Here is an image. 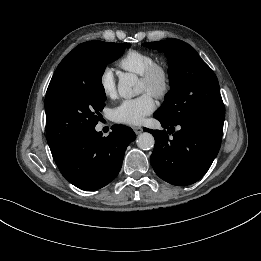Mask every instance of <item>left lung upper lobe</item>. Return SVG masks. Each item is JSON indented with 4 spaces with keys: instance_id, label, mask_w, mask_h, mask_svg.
<instances>
[{
    "instance_id": "1",
    "label": "left lung upper lobe",
    "mask_w": 261,
    "mask_h": 261,
    "mask_svg": "<svg viewBox=\"0 0 261 261\" xmlns=\"http://www.w3.org/2000/svg\"><path fill=\"white\" fill-rule=\"evenodd\" d=\"M143 46L164 52L169 60L171 89L154 116L170 123L225 116L217 77L195 49L177 39L147 42Z\"/></svg>"
}]
</instances>
